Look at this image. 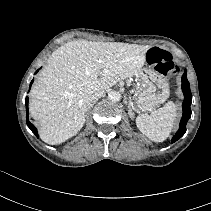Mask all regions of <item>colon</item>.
Segmentation results:
<instances>
[{
	"instance_id": "colon-1",
	"label": "colon",
	"mask_w": 211,
	"mask_h": 211,
	"mask_svg": "<svg viewBox=\"0 0 211 211\" xmlns=\"http://www.w3.org/2000/svg\"><path fill=\"white\" fill-rule=\"evenodd\" d=\"M147 59L148 62L163 75H174L178 70V67L174 63L171 54L163 49H150L147 53Z\"/></svg>"
}]
</instances>
